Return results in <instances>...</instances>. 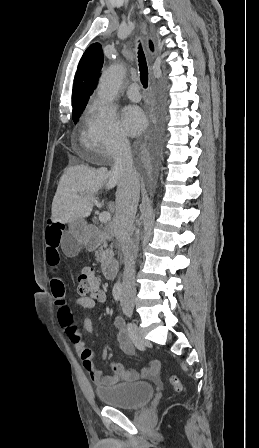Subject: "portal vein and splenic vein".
<instances>
[{
  "instance_id": "18ae733b",
  "label": "portal vein and splenic vein",
  "mask_w": 259,
  "mask_h": 448,
  "mask_svg": "<svg viewBox=\"0 0 259 448\" xmlns=\"http://www.w3.org/2000/svg\"><path fill=\"white\" fill-rule=\"evenodd\" d=\"M99 220L102 224H106V222H110L111 214L109 212H102V214H99Z\"/></svg>"
}]
</instances>
